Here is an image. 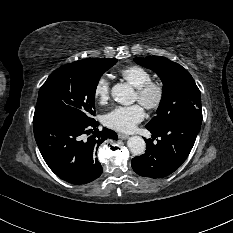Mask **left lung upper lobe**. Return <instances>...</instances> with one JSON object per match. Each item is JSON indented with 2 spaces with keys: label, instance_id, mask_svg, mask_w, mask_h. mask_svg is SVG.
Here are the masks:
<instances>
[{
  "label": "left lung upper lobe",
  "instance_id": "left-lung-upper-lobe-1",
  "mask_svg": "<svg viewBox=\"0 0 233 233\" xmlns=\"http://www.w3.org/2000/svg\"><path fill=\"white\" fill-rule=\"evenodd\" d=\"M134 61L155 71L163 82L157 115L146 125L147 128L159 130L182 115L201 109L200 91L181 65L161 56L135 58Z\"/></svg>",
  "mask_w": 233,
  "mask_h": 233
}]
</instances>
